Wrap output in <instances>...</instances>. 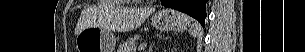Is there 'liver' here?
Here are the masks:
<instances>
[{
  "mask_svg": "<svg viewBox=\"0 0 305 52\" xmlns=\"http://www.w3.org/2000/svg\"><path fill=\"white\" fill-rule=\"evenodd\" d=\"M153 12L152 8H129L119 4L113 5L109 12V27L113 31L128 32L138 28ZM95 26L87 12H83L76 26L75 34L87 27Z\"/></svg>",
  "mask_w": 305,
  "mask_h": 52,
  "instance_id": "1",
  "label": "liver"
}]
</instances>
